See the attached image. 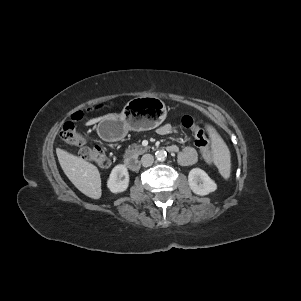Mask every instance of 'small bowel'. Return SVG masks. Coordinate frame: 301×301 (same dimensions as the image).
I'll return each instance as SVG.
<instances>
[{"label": "small bowel", "instance_id": "obj_1", "mask_svg": "<svg viewBox=\"0 0 301 301\" xmlns=\"http://www.w3.org/2000/svg\"><path fill=\"white\" fill-rule=\"evenodd\" d=\"M177 128L171 124H165L157 129V133L161 136H168L177 133ZM175 146V145H173ZM176 147V146H175ZM177 148V147H176ZM178 151V148L176 152ZM199 153L195 147L186 146L178 151L177 158L181 164L191 165L198 160Z\"/></svg>", "mask_w": 301, "mask_h": 301}]
</instances>
